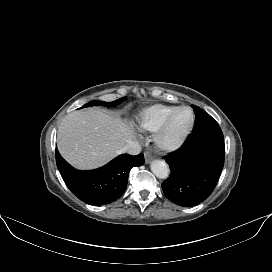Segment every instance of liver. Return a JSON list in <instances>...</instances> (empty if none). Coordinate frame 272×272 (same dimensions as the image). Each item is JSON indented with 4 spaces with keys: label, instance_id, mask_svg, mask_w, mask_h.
<instances>
[{
    "label": "liver",
    "instance_id": "6515ba94",
    "mask_svg": "<svg viewBox=\"0 0 272 272\" xmlns=\"http://www.w3.org/2000/svg\"><path fill=\"white\" fill-rule=\"evenodd\" d=\"M135 139L131 125L98 108L74 111L62 120L57 146L62 157L78 169L101 167Z\"/></svg>",
    "mask_w": 272,
    "mask_h": 272
}]
</instances>
